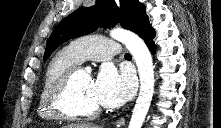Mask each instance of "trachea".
Instances as JSON below:
<instances>
[{
    "label": "trachea",
    "mask_w": 221,
    "mask_h": 128,
    "mask_svg": "<svg viewBox=\"0 0 221 128\" xmlns=\"http://www.w3.org/2000/svg\"><path fill=\"white\" fill-rule=\"evenodd\" d=\"M125 57H131V55L129 53H126Z\"/></svg>",
    "instance_id": "obj_1"
}]
</instances>
